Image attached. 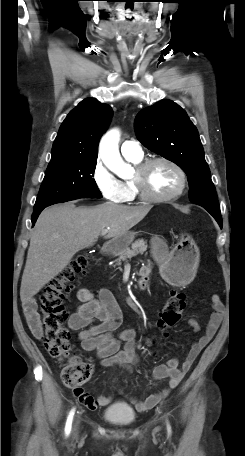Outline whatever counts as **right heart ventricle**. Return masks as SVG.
<instances>
[{
	"instance_id": "1",
	"label": "right heart ventricle",
	"mask_w": 245,
	"mask_h": 456,
	"mask_svg": "<svg viewBox=\"0 0 245 456\" xmlns=\"http://www.w3.org/2000/svg\"><path fill=\"white\" fill-rule=\"evenodd\" d=\"M129 162L133 163L134 165H138L142 161V157L140 158H131L125 157ZM124 190H125V199L124 202H132L138 197L137 189L133 183V180H125L122 182Z\"/></svg>"
}]
</instances>
